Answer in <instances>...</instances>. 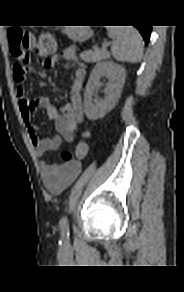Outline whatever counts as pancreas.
Listing matches in <instances>:
<instances>
[{
	"label": "pancreas",
	"mask_w": 184,
	"mask_h": 292,
	"mask_svg": "<svg viewBox=\"0 0 184 292\" xmlns=\"http://www.w3.org/2000/svg\"><path fill=\"white\" fill-rule=\"evenodd\" d=\"M110 54L107 50L94 49L80 53V58L85 62H99L101 60L109 59Z\"/></svg>",
	"instance_id": "pancreas-1"
}]
</instances>
